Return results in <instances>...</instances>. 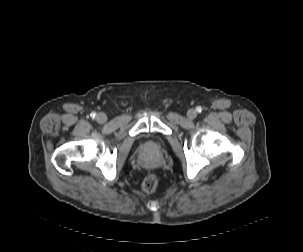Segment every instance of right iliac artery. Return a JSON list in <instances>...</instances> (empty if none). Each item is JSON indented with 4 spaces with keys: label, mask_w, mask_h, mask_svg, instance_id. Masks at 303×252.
<instances>
[{
    "label": "right iliac artery",
    "mask_w": 303,
    "mask_h": 252,
    "mask_svg": "<svg viewBox=\"0 0 303 252\" xmlns=\"http://www.w3.org/2000/svg\"><path fill=\"white\" fill-rule=\"evenodd\" d=\"M91 116H92V117H95V116H96V113L92 112V113H91Z\"/></svg>",
    "instance_id": "82829eb1"
}]
</instances>
